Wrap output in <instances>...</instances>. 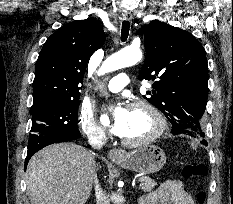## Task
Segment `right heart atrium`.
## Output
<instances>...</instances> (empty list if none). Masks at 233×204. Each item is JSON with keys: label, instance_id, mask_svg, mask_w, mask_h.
<instances>
[{"label": "right heart atrium", "instance_id": "1", "mask_svg": "<svg viewBox=\"0 0 233 204\" xmlns=\"http://www.w3.org/2000/svg\"><path fill=\"white\" fill-rule=\"evenodd\" d=\"M78 127L81 134L91 143L103 142L106 139L104 130L94 121L87 110L79 112Z\"/></svg>", "mask_w": 233, "mask_h": 204}]
</instances>
